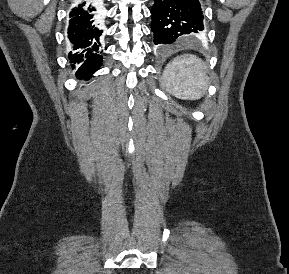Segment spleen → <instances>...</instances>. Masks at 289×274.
<instances>
[{
  "label": "spleen",
  "instance_id": "spleen-1",
  "mask_svg": "<svg viewBox=\"0 0 289 274\" xmlns=\"http://www.w3.org/2000/svg\"><path fill=\"white\" fill-rule=\"evenodd\" d=\"M204 62L195 55H182L170 62L163 73L164 85L179 99H200L207 89Z\"/></svg>",
  "mask_w": 289,
  "mask_h": 274
}]
</instances>
